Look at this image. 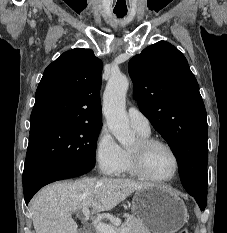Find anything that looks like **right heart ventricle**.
Listing matches in <instances>:
<instances>
[{"instance_id":"1","label":"right heart ventricle","mask_w":227,"mask_h":233,"mask_svg":"<svg viewBox=\"0 0 227 233\" xmlns=\"http://www.w3.org/2000/svg\"><path fill=\"white\" fill-rule=\"evenodd\" d=\"M137 132L139 133L141 138H149L150 133L146 134V133H141L139 131ZM123 150H124V161H123V166L121 168L120 173L131 175V176L137 175L132 167L129 149H123Z\"/></svg>"}]
</instances>
